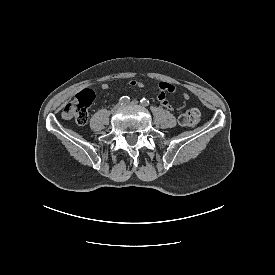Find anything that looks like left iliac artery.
Segmentation results:
<instances>
[{
    "instance_id": "44dca946",
    "label": "left iliac artery",
    "mask_w": 275,
    "mask_h": 275,
    "mask_svg": "<svg viewBox=\"0 0 275 275\" xmlns=\"http://www.w3.org/2000/svg\"><path fill=\"white\" fill-rule=\"evenodd\" d=\"M140 103H141L143 106H148V105H149V101H148L147 99H145V98H142V99L140 100Z\"/></svg>"
}]
</instances>
